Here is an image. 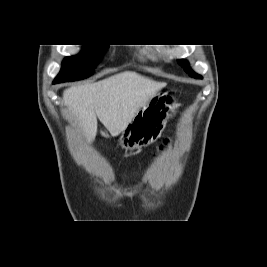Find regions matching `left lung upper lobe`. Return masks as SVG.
<instances>
[{
    "label": "left lung upper lobe",
    "instance_id": "obj_1",
    "mask_svg": "<svg viewBox=\"0 0 267 267\" xmlns=\"http://www.w3.org/2000/svg\"><path fill=\"white\" fill-rule=\"evenodd\" d=\"M178 63L180 65L183 66V68L185 69L186 72L189 73L190 76L194 77V78H202V76L194 73L190 68H189V64H188V61L186 60H178Z\"/></svg>",
    "mask_w": 267,
    "mask_h": 267
}]
</instances>
